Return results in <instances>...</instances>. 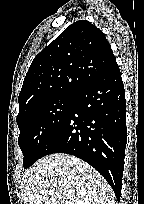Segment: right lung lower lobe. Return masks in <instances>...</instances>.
<instances>
[{"label":"right lung lower lobe","mask_w":144,"mask_h":204,"mask_svg":"<svg viewBox=\"0 0 144 204\" xmlns=\"http://www.w3.org/2000/svg\"><path fill=\"white\" fill-rule=\"evenodd\" d=\"M125 107L117 65L76 94L67 116L40 156L66 153L81 158L107 180L119 201L127 142Z\"/></svg>","instance_id":"right-lung-lower-lobe-1"}]
</instances>
